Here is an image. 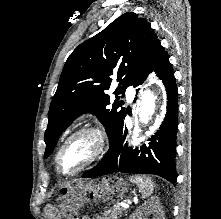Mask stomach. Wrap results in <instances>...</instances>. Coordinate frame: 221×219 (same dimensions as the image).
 Wrapping results in <instances>:
<instances>
[{
	"instance_id": "1",
	"label": "stomach",
	"mask_w": 221,
	"mask_h": 219,
	"mask_svg": "<svg viewBox=\"0 0 221 219\" xmlns=\"http://www.w3.org/2000/svg\"><path fill=\"white\" fill-rule=\"evenodd\" d=\"M127 184L115 176L93 178V181L79 182L75 187L57 190L62 199H74V204H89L92 199H122L126 195Z\"/></svg>"
}]
</instances>
